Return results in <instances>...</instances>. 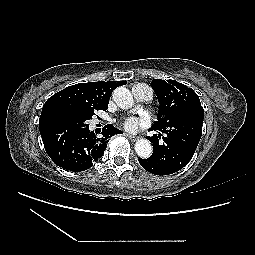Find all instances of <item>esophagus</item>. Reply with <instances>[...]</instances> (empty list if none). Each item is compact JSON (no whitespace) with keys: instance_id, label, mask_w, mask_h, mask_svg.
<instances>
[{"instance_id":"esophagus-1","label":"esophagus","mask_w":255,"mask_h":255,"mask_svg":"<svg viewBox=\"0 0 255 255\" xmlns=\"http://www.w3.org/2000/svg\"><path fill=\"white\" fill-rule=\"evenodd\" d=\"M125 136H127L131 141H136V139H137V137L136 136H134V135H131V134H129V133H125Z\"/></svg>"}]
</instances>
